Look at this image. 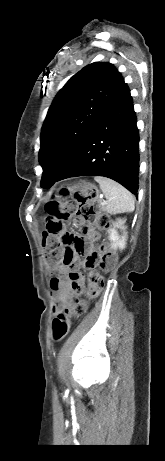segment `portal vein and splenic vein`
<instances>
[{
	"instance_id": "obj_1",
	"label": "portal vein and splenic vein",
	"mask_w": 165,
	"mask_h": 461,
	"mask_svg": "<svg viewBox=\"0 0 165 461\" xmlns=\"http://www.w3.org/2000/svg\"><path fill=\"white\" fill-rule=\"evenodd\" d=\"M105 202H106V201L103 200V201L101 202V205H102V204H105Z\"/></svg>"
}]
</instances>
